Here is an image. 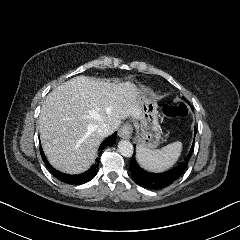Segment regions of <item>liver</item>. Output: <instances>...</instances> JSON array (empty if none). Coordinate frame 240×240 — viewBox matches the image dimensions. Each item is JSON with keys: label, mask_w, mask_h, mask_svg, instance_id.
Wrapping results in <instances>:
<instances>
[{"label": "liver", "mask_w": 240, "mask_h": 240, "mask_svg": "<svg viewBox=\"0 0 240 240\" xmlns=\"http://www.w3.org/2000/svg\"><path fill=\"white\" fill-rule=\"evenodd\" d=\"M141 113L134 83L74 77L50 92L42 105L39 132L43 150L56 169L69 174L85 172L103 140L99 124L120 125L128 117L140 119Z\"/></svg>", "instance_id": "liver-1"}]
</instances>
